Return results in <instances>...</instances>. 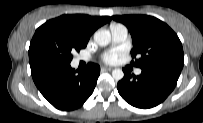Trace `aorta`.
<instances>
[{
    "label": "aorta",
    "mask_w": 203,
    "mask_h": 123,
    "mask_svg": "<svg viewBox=\"0 0 203 123\" xmlns=\"http://www.w3.org/2000/svg\"><path fill=\"white\" fill-rule=\"evenodd\" d=\"M94 40L99 46H107L111 41V33L108 30H98L94 34ZM112 77L119 81L124 77V73L121 69H114Z\"/></svg>",
    "instance_id": "1"
}]
</instances>
